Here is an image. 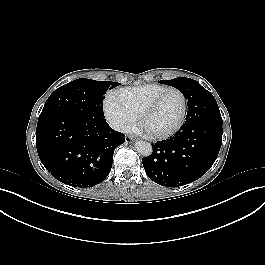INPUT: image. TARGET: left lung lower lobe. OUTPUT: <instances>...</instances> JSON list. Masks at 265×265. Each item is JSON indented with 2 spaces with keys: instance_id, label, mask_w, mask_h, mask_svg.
<instances>
[{
  "instance_id": "left-lung-lower-lobe-1",
  "label": "left lung lower lobe",
  "mask_w": 265,
  "mask_h": 265,
  "mask_svg": "<svg viewBox=\"0 0 265 265\" xmlns=\"http://www.w3.org/2000/svg\"><path fill=\"white\" fill-rule=\"evenodd\" d=\"M222 144V117L213 95L193 90L186 121L166 142L153 144L142 158L147 176L155 183L179 187L202 177L215 162Z\"/></svg>"
}]
</instances>
